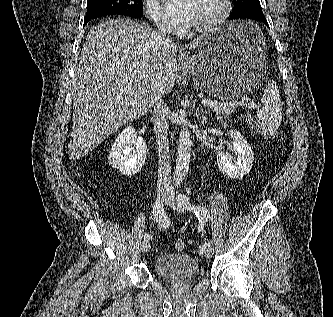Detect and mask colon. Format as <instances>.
Wrapping results in <instances>:
<instances>
[{
  "label": "colon",
  "mask_w": 333,
  "mask_h": 317,
  "mask_svg": "<svg viewBox=\"0 0 333 317\" xmlns=\"http://www.w3.org/2000/svg\"><path fill=\"white\" fill-rule=\"evenodd\" d=\"M246 120L252 128L257 130L264 137H266V138H275L277 136V133L275 131H270V130L264 128L258 122H256L250 115L246 116ZM174 247L177 251H182L185 247V243L182 240H177L174 243Z\"/></svg>",
  "instance_id": "1"
}]
</instances>
